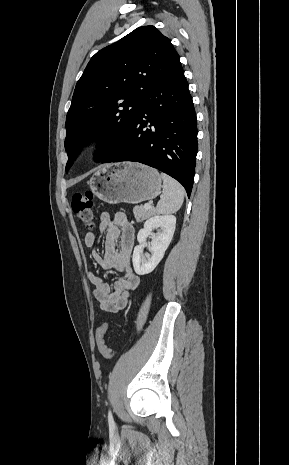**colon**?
<instances>
[{
	"label": "colon",
	"mask_w": 289,
	"mask_h": 465,
	"mask_svg": "<svg viewBox=\"0 0 289 465\" xmlns=\"http://www.w3.org/2000/svg\"><path fill=\"white\" fill-rule=\"evenodd\" d=\"M71 207L79 222L86 228L94 226V196L91 191L76 192L72 196ZM109 328L108 323H102L96 330V342L99 352L106 359L111 358L112 351L106 345L104 336Z\"/></svg>",
	"instance_id": "obj_1"
}]
</instances>
